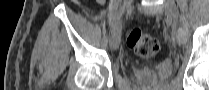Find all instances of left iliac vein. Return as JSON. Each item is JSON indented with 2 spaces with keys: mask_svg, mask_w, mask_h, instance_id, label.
<instances>
[{
  "mask_svg": "<svg viewBox=\"0 0 209 90\" xmlns=\"http://www.w3.org/2000/svg\"><path fill=\"white\" fill-rule=\"evenodd\" d=\"M165 7L167 15L173 20L176 21L179 17V12L177 10L176 4L173 0H167L165 2Z\"/></svg>",
  "mask_w": 209,
  "mask_h": 90,
  "instance_id": "4c4485c4",
  "label": "left iliac vein"
}]
</instances>
